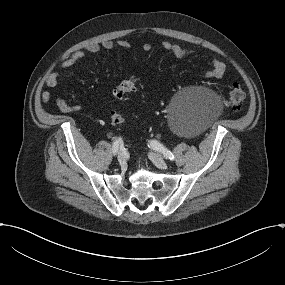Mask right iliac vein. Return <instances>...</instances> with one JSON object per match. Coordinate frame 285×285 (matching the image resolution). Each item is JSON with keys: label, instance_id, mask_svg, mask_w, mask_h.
Wrapping results in <instances>:
<instances>
[{"label": "right iliac vein", "instance_id": "1", "mask_svg": "<svg viewBox=\"0 0 285 285\" xmlns=\"http://www.w3.org/2000/svg\"><path fill=\"white\" fill-rule=\"evenodd\" d=\"M117 159H118V162H119V163H124L125 160H126L125 154H123V153L120 152V153L118 154Z\"/></svg>", "mask_w": 285, "mask_h": 285}]
</instances>
